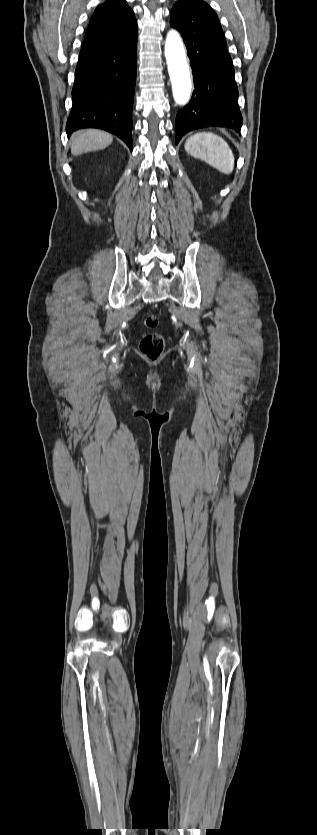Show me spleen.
Here are the masks:
<instances>
[{
  "mask_svg": "<svg viewBox=\"0 0 317 835\" xmlns=\"http://www.w3.org/2000/svg\"><path fill=\"white\" fill-rule=\"evenodd\" d=\"M185 150L225 175L234 170L235 159L228 143L212 132H199L188 138Z\"/></svg>",
  "mask_w": 317,
  "mask_h": 835,
  "instance_id": "spleen-1",
  "label": "spleen"
}]
</instances>
